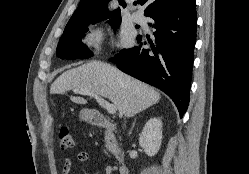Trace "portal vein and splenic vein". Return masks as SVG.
I'll return each mask as SVG.
<instances>
[{"label": "portal vein and splenic vein", "mask_w": 249, "mask_h": 174, "mask_svg": "<svg viewBox=\"0 0 249 174\" xmlns=\"http://www.w3.org/2000/svg\"><path fill=\"white\" fill-rule=\"evenodd\" d=\"M79 93L83 94V95H89V96L94 97L97 100V102L99 103V105L101 107L105 108L109 114H115L116 113L117 109H116L115 105L107 102L102 97L95 94L94 92H91V91H88V90H83V91H80Z\"/></svg>", "instance_id": "obj_1"}]
</instances>
